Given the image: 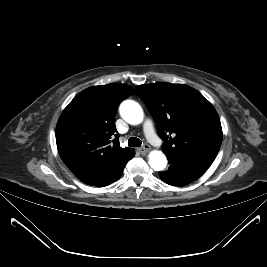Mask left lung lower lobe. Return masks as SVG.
<instances>
[{
	"instance_id": "obj_1",
	"label": "left lung lower lobe",
	"mask_w": 267,
	"mask_h": 267,
	"mask_svg": "<svg viewBox=\"0 0 267 267\" xmlns=\"http://www.w3.org/2000/svg\"><path fill=\"white\" fill-rule=\"evenodd\" d=\"M166 156L170 166L167 171L159 172V177L169 185H187L198 179L206 171V168L179 160L173 155L166 154Z\"/></svg>"
}]
</instances>
